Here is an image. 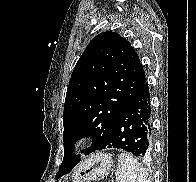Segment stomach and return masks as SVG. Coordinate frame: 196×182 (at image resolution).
<instances>
[{"instance_id": "0dacf381", "label": "stomach", "mask_w": 196, "mask_h": 182, "mask_svg": "<svg viewBox=\"0 0 196 182\" xmlns=\"http://www.w3.org/2000/svg\"><path fill=\"white\" fill-rule=\"evenodd\" d=\"M113 165L112 157L106 153H94L82 161L74 174L73 182H91L103 178Z\"/></svg>"}]
</instances>
